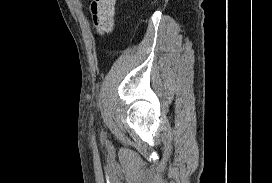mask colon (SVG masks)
<instances>
[{
	"label": "colon",
	"instance_id": "5ec220e1",
	"mask_svg": "<svg viewBox=\"0 0 272 183\" xmlns=\"http://www.w3.org/2000/svg\"><path fill=\"white\" fill-rule=\"evenodd\" d=\"M117 0H93L91 13L94 30L104 35L110 32L114 25Z\"/></svg>",
	"mask_w": 272,
	"mask_h": 183
}]
</instances>
